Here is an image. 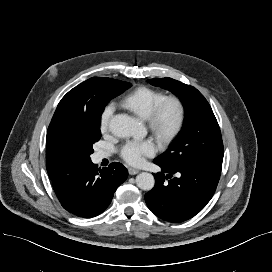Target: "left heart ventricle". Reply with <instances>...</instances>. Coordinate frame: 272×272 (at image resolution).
<instances>
[{"instance_id": "b2bd125f", "label": "left heart ventricle", "mask_w": 272, "mask_h": 272, "mask_svg": "<svg viewBox=\"0 0 272 272\" xmlns=\"http://www.w3.org/2000/svg\"><path fill=\"white\" fill-rule=\"evenodd\" d=\"M172 114H173V111H172V108L171 107H167L166 108V111H165V121H168L171 119L172 117Z\"/></svg>"}]
</instances>
